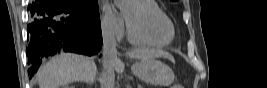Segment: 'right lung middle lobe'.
Returning a JSON list of instances; mask_svg holds the SVG:
<instances>
[{
	"mask_svg": "<svg viewBox=\"0 0 267 88\" xmlns=\"http://www.w3.org/2000/svg\"><path fill=\"white\" fill-rule=\"evenodd\" d=\"M69 3L79 9L86 12H95L98 11V2L97 0H68Z\"/></svg>",
	"mask_w": 267,
	"mask_h": 88,
	"instance_id": "1",
	"label": "right lung middle lobe"
}]
</instances>
